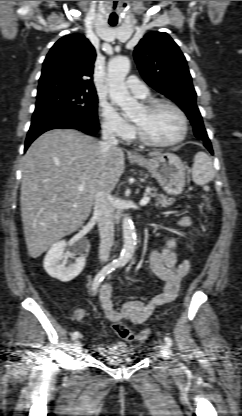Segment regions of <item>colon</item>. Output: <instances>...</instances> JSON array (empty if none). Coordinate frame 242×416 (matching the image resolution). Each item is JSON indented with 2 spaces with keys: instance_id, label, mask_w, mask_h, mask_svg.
<instances>
[{
  "instance_id": "1",
  "label": "colon",
  "mask_w": 242,
  "mask_h": 416,
  "mask_svg": "<svg viewBox=\"0 0 242 416\" xmlns=\"http://www.w3.org/2000/svg\"><path fill=\"white\" fill-rule=\"evenodd\" d=\"M202 206L208 211L210 209L208 199L205 195H202ZM112 329L117 336L124 340H136V341H146L151 336V331L149 329L142 330L140 332H133L123 321L118 320L113 322Z\"/></svg>"
}]
</instances>
